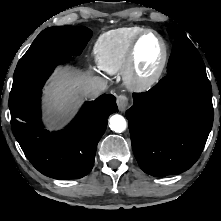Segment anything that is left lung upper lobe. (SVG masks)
<instances>
[{
  "label": "left lung upper lobe",
  "instance_id": "5c2ea615",
  "mask_svg": "<svg viewBox=\"0 0 221 221\" xmlns=\"http://www.w3.org/2000/svg\"><path fill=\"white\" fill-rule=\"evenodd\" d=\"M173 38L171 56L169 58L167 73H191L207 76L204 62L186 33L175 23L168 29Z\"/></svg>",
  "mask_w": 221,
  "mask_h": 221
}]
</instances>
